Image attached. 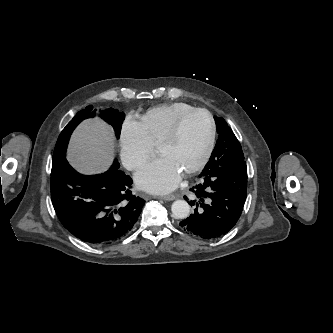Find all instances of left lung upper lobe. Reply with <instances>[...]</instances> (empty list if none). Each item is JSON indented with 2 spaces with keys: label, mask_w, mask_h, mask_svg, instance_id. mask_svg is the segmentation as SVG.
Returning a JSON list of instances; mask_svg holds the SVG:
<instances>
[{
  "label": "left lung upper lobe",
  "mask_w": 333,
  "mask_h": 333,
  "mask_svg": "<svg viewBox=\"0 0 333 333\" xmlns=\"http://www.w3.org/2000/svg\"><path fill=\"white\" fill-rule=\"evenodd\" d=\"M219 138L212 155L203 171L214 170L220 167L230 168L245 164L242 147L232 129L221 117H214Z\"/></svg>",
  "instance_id": "5c2ea615"
}]
</instances>
